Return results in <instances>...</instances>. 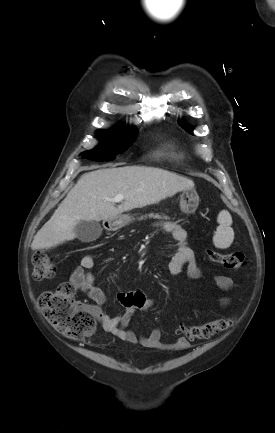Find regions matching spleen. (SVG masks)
<instances>
[{
    "instance_id": "1",
    "label": "spleen",
    "mask_w": 275,
    "mask_h": 433,
    "mask_svg": "<svg viewBox=\"0 0 275 433\" xmlns=\"http://www.w3.org/2000/svg\"><path fill=\"white\" fill-rule=\"evenodd\" d=\"M219 226L213 236L215 247L220 249L228 248L234 239V231L231 228L232 217L227 210H222L217 217Z\"/></svg>"
}]
</instances>
